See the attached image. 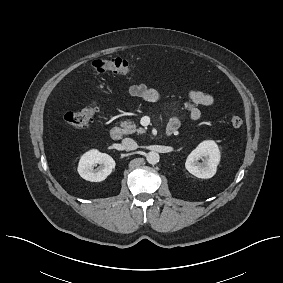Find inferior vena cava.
<instances>
[{"label": "inferior vena cava", "instance_id": "obj_1", "mask_svg": "<svg viewBox=\"0 0 283 283\" xmlns=\"http://www.w3.org/2000/svg\"><path fill=\"white\" fill-rule=\"evenodd\" d=\"M122 147L126 151H132L138 148L137 143L131 138H125L122 140Z\"/></svg>", "mask_w": 283, "mask_h": 283}]
</instances>
